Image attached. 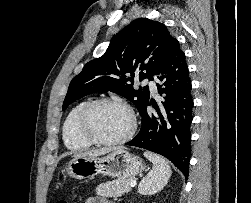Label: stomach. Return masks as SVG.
Instances as JSON below:
<instances>
[{"label": "stomach", "instance_id": "stomach-1", "mask_svg": "<svg viewBox=\"0 0 251 203\" xmlns=\"http://www.w3.org/2000/svg\"><path fill=\"white\" fill-rule=\"evenodd\" d=\"M145 169L143 160L123 148H118L104 157H80L72 159L63 170L76 179L93 178L98 174L126 179Z\"/></svg>", "mask_w": 251, "mask_h": 203}]
</instances>
